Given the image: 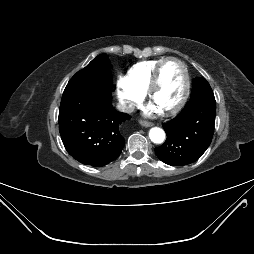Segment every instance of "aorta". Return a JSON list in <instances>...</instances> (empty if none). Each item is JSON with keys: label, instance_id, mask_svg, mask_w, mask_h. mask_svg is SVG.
<instances>
[{"label": "aorta", "instance_id": "aorta-1", "mask_svg": "<svg viewBox=\"0 0 254 254\" xmlns=\"http://www.w3.org/2000/svg\"><path fill=\"white\" fill-rule=\"evenodd\" d=\"M149 137L153 143L160 144L165 139V132L158 127H154L149 132Z\"/></svg>", "mask_w": 254, "mask_h": 254}]
</instances>
